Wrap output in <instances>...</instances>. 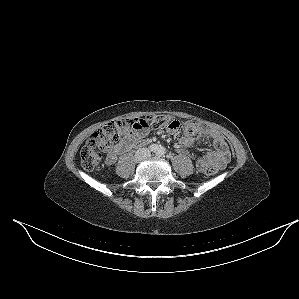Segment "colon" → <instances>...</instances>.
<instances>
[{
    "mask_svg": "<svg viewBox=\"0 0 299 299\" xmlns=\"http://www.w3.org/2000/svg\"><path fill=\"white\" fill-rule=\"evenodd\" d=\"M180 122L163 114H152L144 118H135L127 121H111L94 132L80 151L81 165L86 170L94 169L101 161L102 151L112 144L120 141L128 132H145L150 128H166L176 132L180 129ZM183 131L188 137L198 135V126L193 121H188L183 126ZM215 165H208L204 173L213 175L217 173Z\"/></svg>",
    "mask_w": 299,
    "mask_h": 299,
    "instance_id": "obj_1",
    "label": "colon"
}]
</instances>
